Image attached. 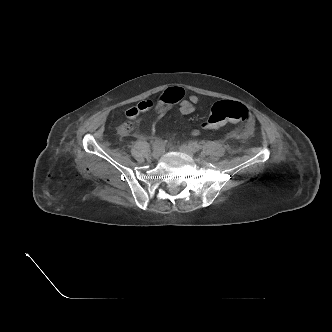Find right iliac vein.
<instances>
[{
    "instance_id": "right-iliac-vein-1",
    "label": "right iliac vein",
    "mask_w": 332,
    "mask_h": 332,
    "mask_svg": "<svg viewBox=\"0 0 332 332\" xmlns=\"http://www.w3.org/2000/svg\"><path fill=\"white\" fill-rule=\"evenodd\" d=\"M161 153H162L161 148H156V149L153 151L152 155H153L154 158H158V157H160Z\"/></svg>"
}]
</instances>
